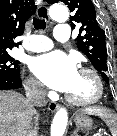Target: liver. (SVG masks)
<instances>
[{
  "label": "liver",
  "mask_w": 117,
  "mask_h": 136,
  "mask_svg": "<svg viewBox=\"0 0 117 136\" xmlns=\"http://www.w3.org/2000/svg\"><path fill=\"white\" fill-rule=\"evenodd\" d=\"M34 111L22 94L0 91V136H27Z\"/></svg>",
  "instance_id": "1"
}]
</instances>
